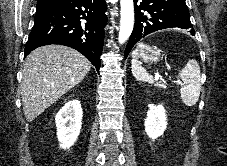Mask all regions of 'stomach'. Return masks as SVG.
I'll return each instance as SVG.
<instances>
[{"label": "stomach", "mask_w": 227, "mask_h": 166, "mask_svg": "<svg viewBox=\"0 0 227 166\" xmlns=\"http://www.w3.org/2000/svg\"><path fill=\"white\" fill-rule=\"evenodd\" d=\"M137 52L138 57H140L144 62L156 63L161 58V50L145 43L138 44Z\"/></svg>", "instance_id": "obj_1"}]
</instances>
